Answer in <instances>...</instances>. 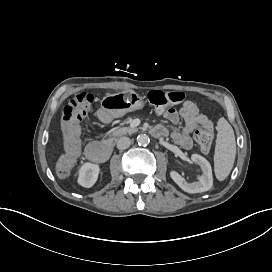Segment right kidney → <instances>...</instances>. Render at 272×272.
I'll use <instances>...</instances> for the list:
<instances>
[{"mask_svg": "<svg viewBox=\"0 0 272 272\" xmlns=\"http://www.w3.org/2000/svg\"><path fill=\"white\" fill-rule=\"evenodd\" d=\"M98 171L97 165L85 164L80 171L79 183L84 187H91L97 179Z\"/></svg>", "mask_w": 272, "mask_h": 272, "instance_id": "ca27d5eb", "label": "right kidney"}]
</instances>
